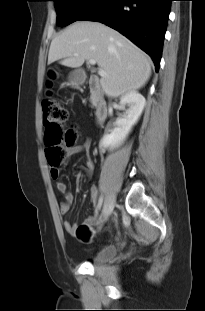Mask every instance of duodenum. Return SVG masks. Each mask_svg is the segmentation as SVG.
<instances>
[{
    "label": "duodenum",
    "mask_w": 205,
    "mask_h": 311,
    "mask_svg": "<svg viewBox=\"0 0 205 311\" xmlns=\"http://www.w3.org/2000/svg\"><path fill=\"white\" fill-rule=\"evenodd\" d=\"M84 78V75L82 72H77L75 74V80H82ZM87 81L90 86V92L95 104V120L97 122L104 121L108 116V102L107 100L102 96L100 91V86L98 81L94 77H88Z\"/></svg>",
    "instance_id": "duodenum-1"
}]
</instances>
